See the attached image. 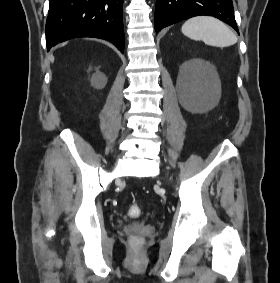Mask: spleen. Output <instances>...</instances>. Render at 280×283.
<instances>
[{"instance_id": "obj_1", "label": "spleen", "mask_w": 280, "mask_h": 283, "mask_svg": "<svg viewBox=\"0 0 280 283\" xmlns=\"http://www.w3.org/2000/svg\"><path fill=\"white\" fill-rule=\"evenodd\" d=\"M182 33L193 40H201L215 47H229L237 42V36L220 20L210 16H196L182 26Z\"/></svg>"}]
</instances>
